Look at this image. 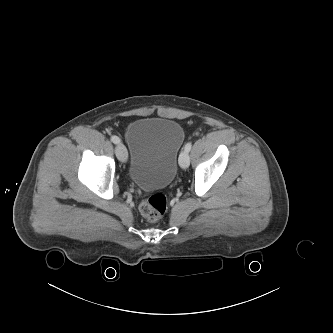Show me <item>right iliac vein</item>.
<instances>
[{
	"label": "right iliac vein",
	"instance_id": "right-iliac-vein-1",
	"mask_svg": "<svg viewBox=\"0 0 333 333\" xmlns=\"http://www.w3.org/2000/svg\"><path fill=\"white\" fill-rule=\"evenodd\" d=\"M115 153L117 158L122 162L125 163L127 161V150L122 143H118L115 148Z\"/></svg>",
	"mask_w": 333,
	"mask_h": 333
}]
</instances>
